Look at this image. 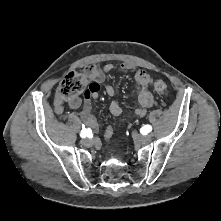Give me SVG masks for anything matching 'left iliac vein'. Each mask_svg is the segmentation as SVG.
I'll list each match as a JSON object with an SVG mask.
<instances>
[{
  "label": "left iliac vein",
  "instance_id": "obj_1",
  "mask_svg": "<svg viewBox=\"0 0 221 221\" xmlns=\"http://www.w3.org/2000/svg\"><path fill=\"white\" fill-rule=\"evenodd\" d=\"M133 138L135 142L140 145L148 144L152 140V137L150 135H140V134H137L136 132H133Z\"/></svg>",
  "mask_w": 221,
  "mask_h": 221
}]
</instances>
